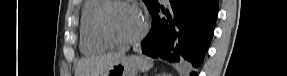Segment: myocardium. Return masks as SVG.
<instances>
[{
  "mask_svg": "<svg viewBox=\"0 0 287 76\" xmlns=\"http://www.w3.org/2000/svg\"><path fill=\"white\" fill-rule=\"evenodd\" d=\"M119 5L134 7L137 10H139L137 6H135L129 1L108 0V2L101 8V10L99 11L96 17V31L99 37L110 46H127V45L138 43L146 36L148 32V29H149L148 19L145 15L142 14L143 27L136 36L132 38H128V39L119 38L116 35H114V33L110 30L107 24V19H108L109 14L116 6H119Z\"/></svg>",
  "mask_w": 287,
  "mask_h": 76,
  "instance_id": "f54148a6",
  "label": "myocardium"
}]
</instances>
